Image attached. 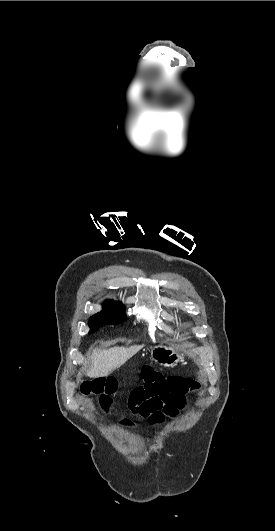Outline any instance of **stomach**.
I'll return each instance as SVG.
<instances>
[{
  "label": "stomach",
  "instance_id": "obj_1",
  "mask_svg": "<svg viewBox=\"0 0 275 531\" xmlns=\"http://www.w3.org/2000/svg\"><path fill=\"white\" fill-rule=\"evenodd\" d=\"M178 349V345H155L151 350L144 351L143 358L145 361H155L161 367H176L177 363L183 361V355Z\"/></svg>",
  "mask_w": 275,
  "mask_h": 531
}]
</instances>
